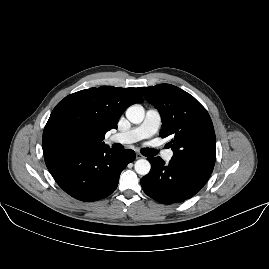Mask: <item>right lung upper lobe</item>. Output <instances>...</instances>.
Here are the masks:
<instances>
[{
    "label": "right lung upper lobe",
    "mask_w": 269,
    "mask_h": 269,
    "mask_svg": "<svg viewBox=\"0 0 269 269\" xmlns=\"http://www.w3.org/2000/svg\"><path fill=\"white\" fill-rule=\"evenodd\" d=\"M143 101L135 88L113 86L68 95L54 108L44 128V155L85 144L106 145V132L117 128L120 116L130 105Z\"/></svg>",
    "instance_id": "1"
}]
</instances>
